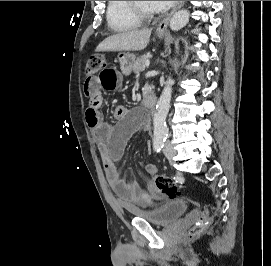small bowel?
<instances>
[{"label":"small bowel","instance_id":"1","mask_svg":"<svg viewBox=\"0 0 271 266\" xmlns=\"http://www.w3.org/2000/svg\"><path fill=\"white\" fill-rule=\"evenodd\" d=\"M122 80L120 69L109 63L96 74L89 75L84 83V93L88 98L85 112L86 122L92 131L94 139L102 148V162L109 186L113 192L125 202L127 206L150 207L161 204L163 194L156 191L152 184L141 187L134 179L121 177L117 161L123 154L130 136L139 129L143 122L140 111L129 110L124 106H117L114 117L116 125L103 120L100 107L102 104V90H115ZM150 174H156L154 165H146Z\"/></svg>","mask_w":271,"mask_h":266}]
</instances>
